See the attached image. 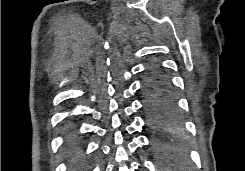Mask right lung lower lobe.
<instances>
[{
    "label": "right lung lower lobe",
    "mask_w": 245,
    "mask_h": 171,
    "mask_svg": "<svg viewBox=\"0 0 245 171\" xmlns=\"http://www.w3.org/2000/svg\"><path fill=\"white\" fill-rule=\"evenodd\" d=\"M66 135L67 149L72 151L79 144V138L76 132L75 123L71 118H68L64 125Z\"/></svg>",
    "instance_id": "obj_1"
}]
</instances>
